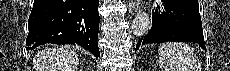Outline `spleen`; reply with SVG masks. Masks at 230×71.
<instances>
[{"label": "spleen", "mask_w": 230, "mask_h": 71, "mask_svg": "<svg viewBox=\"0 0 230 71\" xmlns=\"http://www.w3.org/2000/svg\"><path fill=\"white\" fill-rule=\"evenodd\" d=\"M159 65L162 71H201L193 50L183 43H166L159 48Z\"/></svg>", "instance_id": "obj_1"}]
</instances>
